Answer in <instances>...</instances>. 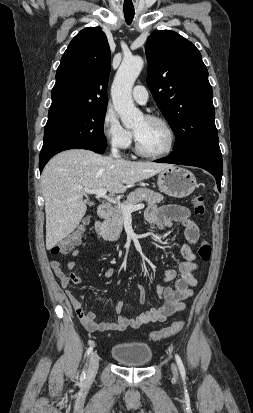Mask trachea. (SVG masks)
Returning a JSON list of instances; mask_svg holds the SVG:
<instances>
[{
    "instance_id": "trachea-1",
    "label": "trachea",
    "mask_w": 253,
    "mask_h": 413,
    "mask_svg": "<svg viewBox=\"0 0 253 413\" xmlns=\"http://www.w3.org/2000/svg\"><path fill=\"white\" fill-rule=\"evenodd\" d=\"M134 10H124V17L127 24H131L134 18Z\"/></svg>"
}]
</instances>
